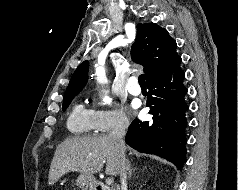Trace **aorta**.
I'll use <instances>...</instances> for the list:
<instances>
[{
	"label": "aorta",
	"instance_id": "1",
	"mask_svg": "<svg viewBox=\"0 0 238 190\" xmlns=\"http://www.w3.org/2000/svg\"><path fill=\"white\" fill-rule=\"evenodd\" d=\"M97 75H98V80L99 81H101V82L105 81V72H104V69L102 67L97 69ZM105 102L110 103L111 99L105 98Z\"/></svg>",
	"mask_w": 238,
	"mask_h": 190
}]
</instances>
